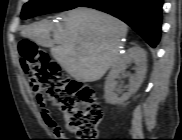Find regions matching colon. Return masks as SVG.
<instances>
[{
    "label": "colon",
    "mask_w": 182,
    "mask_h": 140,
    "mask_svg": "<svg viewBox=\"0 0 182 140\" xmlns=\"http://www.w3.org/2000/svg\"><path fill=\"white\" fill-rule=\"evenodd\" d=\"M20 63L37 99L50 101L63 114L66 128L78 140H95L102 108L95 90L72 79L31 40L19 42Z\"/></svg>",
    "instance_id": "colon-1"
}]
</instances>
